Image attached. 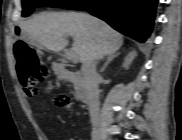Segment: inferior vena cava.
Instances as JSON below:
<instances>
[{
  "mask_svg": "<svg viewBox=\"0 0 182 140\" xmlns=\"http://www.w3.org/2000/svg\"><path fill=\"white\" fill-rule=\"evenodd\" d=\"M97 60L98 58L89 63H83L82 66L85 90L87 94V105L90 113V119L93 125L98 122L99 117V76L96 71Z\"/></svg>",
  "mask_w": 182,
  "mask_h": 140,
  "instance_id": "1",
  "label": "inferior vena cava"
}]
</instances>
